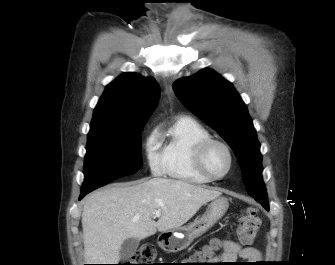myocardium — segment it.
Returning a JSON list of instances; mask_svg holds the SVG:
<instances>
[{"mask_svg":"<svg viewBox=\"0 0 335 265\" xmlns=\"http://www.w3.org/2000/svg\"><path fill=\"white\" fill-rule=\"evenodd\" d=\"M213 145H219L223 147L228 155L229 158V165L225 173L222 175H214L212 174L205 164V156L209 148ZM194 162L197 170L207 179L210 181H217L224 179L233 169L234 166V154L232 148L228 143L223 140L216 139L213 137L207 138L203 140L196 148L195 155H194Z\"/></svg>","mask_w":335,"mask_h":265,"instance_id":"1","label":"myocardium"}]
</instances>
